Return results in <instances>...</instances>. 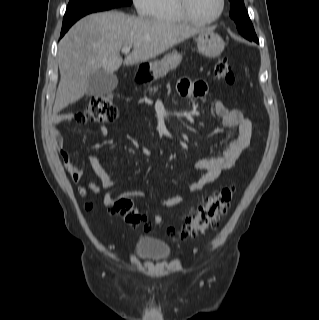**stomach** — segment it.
Listing matches in <instances>:
<instances>
[{
    "label": "stomach",
    "mask_w": 319,
    "mask_h": 320,
    "mask_svg": "<svg viewBox=\"0 0 319 320\" xmlns=\"http://www.w3.org/2000/svg\"><path fill=\"white\" fill-rule=\"evenodd\" d=\"M198 52L206 57L215 58L220 56L224 50L225 43L222 37L212 29L204 30L198 34L196 39ZM182 60V54L174 51L168 53L161 60L149 63V75L157 80L163 78L171 70L176 69Z\"/></svg>",
    "instance_id": "stomach-1"
}]
</instances>
